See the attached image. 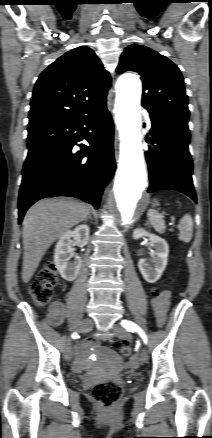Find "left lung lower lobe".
<instances>
[{"label":"left lung lower lobe","instance_id":"0a47b994","mask_svg":"<svg viewBox=\"0 0 212 438\" xmlns=\"http://www.w3.org/2000/svg\"><path fill=\"white\" fill-rule=\"evenodd\" d=\"M152 128L147 142L152 145L145 153L152 193L162 189L176 190L196 201L192 181L193 163L188 151V122L166 119L150 114Z\"/></svg>","mask_w":212,"mask_h":438}]
</instances>
